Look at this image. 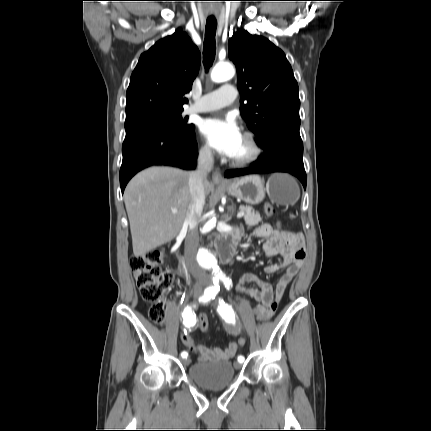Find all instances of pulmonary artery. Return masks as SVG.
<instances>
[{"instance_id":"e3ab8cb5","label":"pulmonary artery","mask_w":431,"mask_h":431,"mask_svg":"<svg viewBox=\"0 0 431 431\" xmlns=\"http://www.w3.org/2000/svg\"><path fill=\"white\" fill-rule=\"evenodd\" d=\"M237 97V89L232 84H224L219 89L204 94L189 107L192 113L218 110L231 104Z\"/></svg>"}]
</instances>
